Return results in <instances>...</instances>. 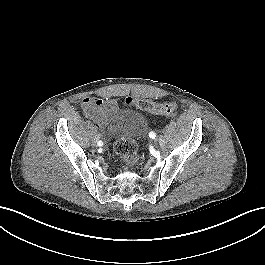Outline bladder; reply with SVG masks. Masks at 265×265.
Masks as SVG:
<instances>
[{"instance_id": "1", "label": "bladder", "mask_w": 265, "mask_h": 265, "mask_svg": "<svg viewBox=\"0 0 265 265\" xmlns=\"http://www.w3.org/2000/svg\"><path fill=\"white\" fill-rule=\"evenodd\" d=\"M147 128V119L136 111L117 109L111 111L110 133L116 138L140 140L146 135Z\"/></svg>"}]
</instances>
